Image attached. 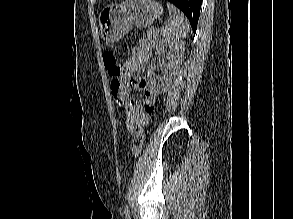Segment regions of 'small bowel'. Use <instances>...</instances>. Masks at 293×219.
Listing matches in <instances>:
<instances>
[{"label":"small bowel","instance_id":"c3829d8e","mask_svg":"<svg viewBox=\"0 0 293 219\" xmlns=\"http://www.w3.org/2000/svg\"><path fill=\"white\" fill-rule=\"evenodd\" d=\"M151 53L150 44L147 41H141L139 46L133 49L131 56L124 63L123 71L116 78L118 82L117 90L112 88L111 82L112 94L124 109L126 129L133 135L143 132L151 114L147 111V108H155L156 104V93L148 87L146 80L133 78L135 74L140 73L144 69L151 57ZM131 88L143 89V103L129 98Z\"/></svg>","mask_w":293,"mask_h":219}]
</instances>
